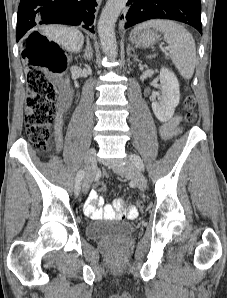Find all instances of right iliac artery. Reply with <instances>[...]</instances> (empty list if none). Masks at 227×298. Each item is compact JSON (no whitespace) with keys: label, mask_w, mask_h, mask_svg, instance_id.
I'll use <instances>...</instances> for the list:
<instances>
[{"label":"right iliac artery","mask_w":227,"mask_h":298,"mask_svg":"<svg viewBox=\"0 0 227 298\" xmlns=\"http://www.w3.org/2000/svg\"><path fill=\"white\" fill-rule=\"evenodd\" d=\"M83 177H84V169H80L76 176V182H75V188H74L75 195H78L80 192V187H81V182Z\"/></svg>","instance_id":"obj_1"}]
</instances>
